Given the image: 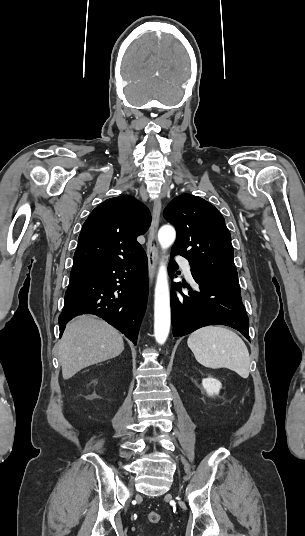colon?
I'll list each match as a JSON object with an SVG mask.
<instances>
[{
	"label": "colon",
	"instance_id": "colon-1",
	"mask_svg": "<svg viewBox=\"0 0 305 536\" xmlns=\"http://www.w3.org/2000/svg\"><path fill=\"white\" fill-rule=\"evenodd\" d=\"M148 521L152 524H158L160 522V515L156 512L148 514Z\"/></svg>",
	"mask_w": 305,
	"mask_h": 536
}]
</instances>
